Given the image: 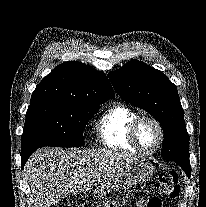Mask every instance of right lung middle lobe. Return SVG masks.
<instances>
[{
  "mask_svg": "<svg viewBox=\"0 0 206 207\" xmlns=\"http://www.w3.org/2000/svg\"><path fill=\"white\" fill-rule=\"evenodd\" d=\"M100 104L85 105L55 100L30 102L22 134L21 153L44 146L80 147L83 131Z\"/></svg>",
  "mask_w": 206,
  "mask_h": 207,
  "instance_id": "obj_1",
  "label": "right lung middle lobe"
}]
</instances>
